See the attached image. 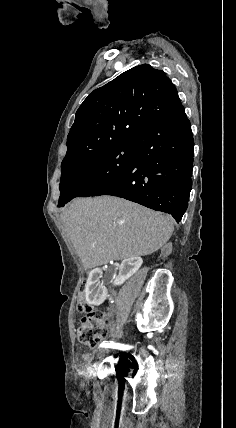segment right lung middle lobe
<instances>
[{
	"instance_id": "obj_1",
	"label": "right lung middle lobe",
	"mask_w": 236,
	"mask_h": 428,
	"mask_svg": "<svg viewBox=\"0 0 236 428\" xmlns=\"http://www.w3.org/2000/svg\"><path fill=\"white\" fill-rule=\"evenodd\" d=\"M135 151L136 140H126L61 169L58 207L107 186L131 164Z\"/></svg>"
}]
</instances>
